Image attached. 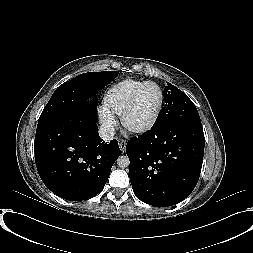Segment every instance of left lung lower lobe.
Here are the masks:
<instances>
[{
    "mask_svg": "<svg viewBox=\"0 0 253 253\" xmlns=\"http://www.w3.org/2000/svg\"><path fill=\"white\" fill-rule=\"evenodd\" d=\"M204 145L200 121L174 122L130 139L126 153L136 196L157 207L184 200L198 182Z\"/></svg>",
    "mask_w": 253,
    "mask_h": 253,
    "instance_id": "1",
    "label": "left lung lower lobe"
}]
</instances>
